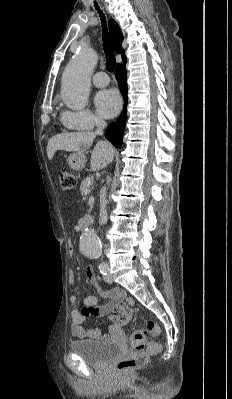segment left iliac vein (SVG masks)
<instances>
[{
    "mask_svg": "<svg viewBox=\"0 0 232 399\" xmlns=\"http://www.w3.org/2000/svg\"><path fill=\"white\" fill-rule=\"evenodd\" d=\"M103 281H105V283H112V274H105V276H103Z\"/></svg>",
    "mask_w": 232,
    "mask_h": 399,
    "instance_id": "obj_1",
    "label": "left iliac vein"
}]
</instances>
